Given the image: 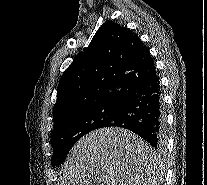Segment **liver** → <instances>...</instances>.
<instances>
[{
  "label": "liver",
  "mask_w": 207,
  "mask_h": 185,
  "mask_svg": "<svg viewBox=\"0 0 207 185\" xmlns=\"http://www.w3.org/2000/svg\"><path fill=\"white\" fill-rule=\"evenodd\" d=\"M155 151L123 127H104L72 147L61 185H152Z\"/></svg>",
  "instance_id": "6515ba94"
}]
</instances>
